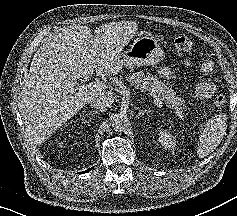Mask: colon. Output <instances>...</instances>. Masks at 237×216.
I'll use <instances>...</instances> for the list:
<instances>
[{
	"mask_svg": "<svg viewBox=\"0 0 237 216\" xmlns=\"http://www.w3.org/2000/svg\"><path fill=\"white\" fill-rule=\"evenodd\" d=\"M173 46L181 52H190L193 48V41L187 35H178L172 38ZM214 104L217 107H223L226 104V97L223 94H217L214 97Z\"/></svg>",
	"mask_w": 237,
	"mask_h": 216,
	"instance_id": "colon-1",
	"label": "colon"
}]
</instances>
